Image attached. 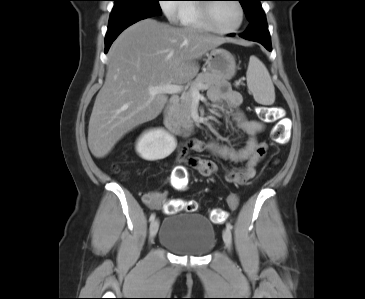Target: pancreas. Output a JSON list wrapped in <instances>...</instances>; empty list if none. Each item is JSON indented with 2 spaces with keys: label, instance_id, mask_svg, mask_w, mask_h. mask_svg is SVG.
Returning <instances> with one entry per match:
<instances>
[{
  "label": "pancreas",
  "instance_id": "obj_1",
  "mask_svg": "<svg viewBox=\"0 0 365 299\" xmlns=\"http://www.w3.org/2000/svg\"><path fill=\"white\" fill-rule=\"evenodd\" d=\"M223 80V77L208 71L198 74L196 79L191 83L189 91L182 94L180 97V102L175 105L173 109V117L176 121V124L185 129H190L193 127V121L191 119V107L193 101V97L191 95L192 88H195L198 85H203L206 87V89H209L211 87L220 85Z\"/></svg>",
  "mask_w": 365,
  "mask_h": 299
}]
</instances>
